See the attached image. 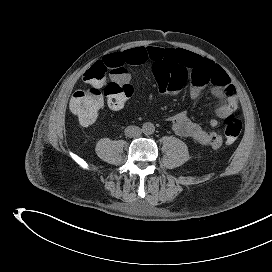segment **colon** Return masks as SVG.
Segmentation results:
<instances>
[{"label":"colon","mask_w":272,"mask_h":272,"mask_svg":"<svg viewBox=\"0 0 272 272\" xmlns=\"http://www.w3.org/2000/svg\"><path fill=\"white\" fill-rule=\"evenodd\" d=\"M126 69L122 66L109 68L99 62L92 65L83 76L88 85L85 89L75 91L70 100V110L84 125L93 124L104 100L113 109L122 108L133 94V87L125 78ZM108 75L117 76L113 80ZM242 121L235 115L224 120L227 144H233L242 131Z\"/></svg>","instance_id":"1"}]
</instances>
